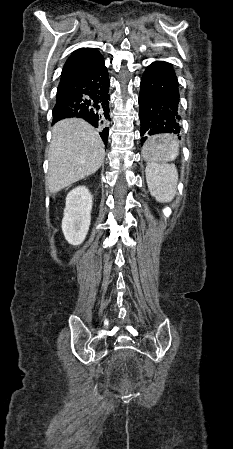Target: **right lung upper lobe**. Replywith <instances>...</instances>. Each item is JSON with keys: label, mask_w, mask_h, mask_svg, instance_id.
<instances>
[{"label": "right lung upper lobe", "mask_w": 233, "mask_h": 449, "mask_svg": "<svg viewBox=\"0 0 233 449\" xmlns=\"http://www.w3.org/2000/svg\"><path fill=\"white\" fill-rule=\"evenodd\" d=\"M102 61V55L94 48H80L75 50L63 67L61 81L58 87L81 78Z\"/></svg>", "instance_id": "right-lung-upper-lobe-1"}]
</instances>
